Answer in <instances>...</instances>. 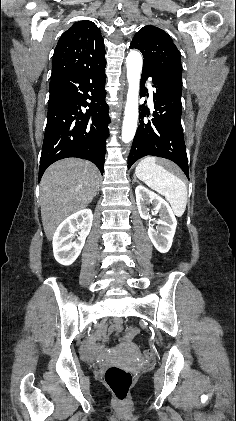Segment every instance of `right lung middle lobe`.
<instances>
[{
	"instance_id": "dd1d6c3e",
	"label": "right lung middle lobe",
	"mask_w": 236,
	"mask_h": 421,
	"mask_svg": "<svg viewBox=\"0 0 236 421\" xmlns=\"http://www.w3.org/2000/svg\"><path fill=\"white\" fill-rule=\"evenodd\" d=\"M53 95H55V92L54 91H50V96H53Z\"/></svg>"
}]
</instances>
